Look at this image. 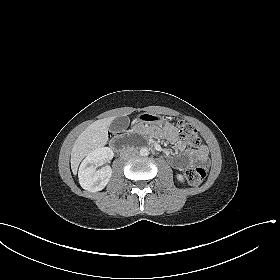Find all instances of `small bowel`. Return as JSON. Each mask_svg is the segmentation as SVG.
Returning <instances> with one entry per match:
<instances>
[{"mask_svg": "<svg viewBox=\"0 0 280 280\" xmlns=\"http://www.w3.org/2000/svg\"><path fill=\"white\" fill-rule=\"evenodd\" d=\"M165 137L176 146L178 152L183 154L186 150V143L179 138L177 128L172 125H167L164 129ZM209 162L208 149L205 145H201L195 152L185 155V159L181 156L173 161V165L179 169L184 170L194 163L207 164Z\"/></svg>", "mask_w": 280, "mask_h": 280, "instance_id": "c3829d8e", "label": "small bowel"}]
</instances>
